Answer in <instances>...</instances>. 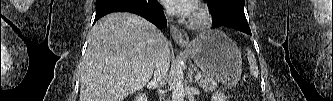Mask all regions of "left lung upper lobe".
<instances>
[{"label":"left lung upper lobe","mask_w":333,"mask_h":101,"mask_svg":"<svg viewBox=\"0 0 333 101\" xmlns=\"http://www.w3.org/2000/svg\"><path fill=\"white\" fill-rule=\"evenodd\" d=\"M237 13H238V12H237ZM238 14L240 15V14H244V13L242 12V13H238Z\"/></svg>","instance_id":"left-lung-upper-lobe-1"}]
</instances>
